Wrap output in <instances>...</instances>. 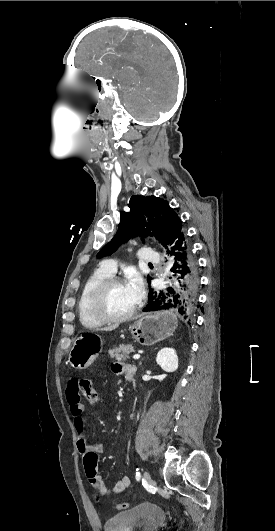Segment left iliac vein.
<instances>
[{
	"mask_svg": "<svg viewBox=\"0 0 275 531\" xmlns=\"http://www.w3.org/2000/svg\"><path fill=\"white\" fill-rule=\"evenodd\" d=\"M144 478H145L146 482H147L150 486H154V485H155V481L150 477V475H149L148 472H145V473H144Z\"/></svg>",
	"mask_w": 275,
	"mask_h": 531,
	"instance_id": "4c4485c4",
	"label": "left iliac vein"
}]
</instances>
